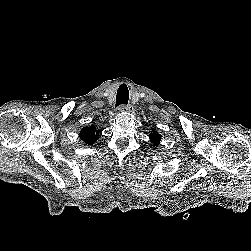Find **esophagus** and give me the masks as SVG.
Wrapping results in <instances>:
<instances>
[{"label":"esophagus","mask_w":251,"mask_h":251,"mask_svg":"<svg viewBox=\"0 0 251 251\" xmlns=\"http://www.w3.org/2000/svg\"><path fill=\"white\" fill-rule=\"evenodd\" d=\"M133 106L132 105H122L119 107V112H132L133 111Z\"/></svg>","instance_id":"34e87169"}]
</instances>
